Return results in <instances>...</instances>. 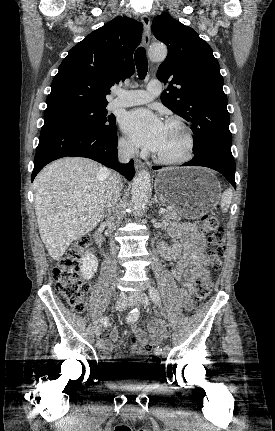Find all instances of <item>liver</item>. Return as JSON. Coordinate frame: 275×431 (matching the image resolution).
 <instances>
[{
	"label": "liver",
	"instance_id": "6515ba94",
	"mask_svg": "<svg viewBox=\"0 0 275 431\" xmlns=\"http://www.w3.org/2000/svg\"><path fill=\"white\" fill-rule=\"evenodd\" d=\"M108 172L93 160L66 157L43 168L35 178L39 233L52 259H60L74 240L100 222Z\"/></svg>",
	"mask_w": 275,
	"mask_h": 431
}]
</instances>
